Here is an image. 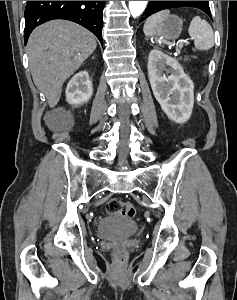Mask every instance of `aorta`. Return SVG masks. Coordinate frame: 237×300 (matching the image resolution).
I'll use <instances>...</instances> for the list:
<instances>
[{"label": "aorta", "mask_w": 237, "mask_h": 300, "mask_svg": "<svg viewBox=\"0 0 237 300\" xmlns=\"http://www.w3.org/2000/svg\"><path fill=\"white\" fill-rule=\"evenodd\" d=\"M148 1H129V11L132 17H140L147 7Z\"/></svg>", "instance_id": "aorta-1"}]
</instances>
